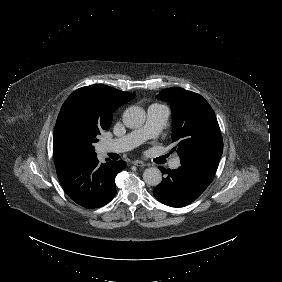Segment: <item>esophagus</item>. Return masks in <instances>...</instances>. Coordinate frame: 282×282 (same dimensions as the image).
Returning <instances> with one entry per match:
<instances>
[{
    "instance_id": "34e87169",
    "label": "esophagus",
    "mask_w": 282,
    "mask_h": 282,
    "mask_svg": "<svg viewBox=\"0 0 282 282\" xmlns=\"http://www.w3.org/2000/svg\"><path fill=\"white\" fill-rule=\"evenodd\" d=\"M132 163L135 165V166H138V167H145L146 164L140 160H133Z\"/></svg>"
}]
</instances>
